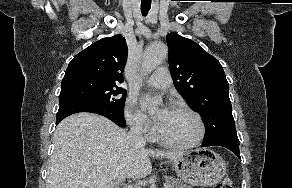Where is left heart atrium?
I'll return each mask as SVG.
<instances>
[{
    "label": "left heart atrium",
    "mask_w": 292,
    "mask_h": 188,
    "mask_svg": "<svg viewBox=\"0 0 292 188\" xmlns=\"http://www.w3.org/2000/svg\"><path fill=\"white\" fill-rule=\"evenodd\" d=\"M143 105L146 106V100H143ZM168 112L167 109L161 110L155 117L157 126L161 123L163 117L165 116V114Z\"/></svg>",
    "instance_id": "39dd6f15"
}]
</instances>
